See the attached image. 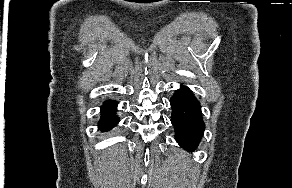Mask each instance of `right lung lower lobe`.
Returning <instances> with one entry per match:
<instances>
[{
  "instance_id": "obj_1",
  "label": "right lung lower lobe",
  "mask_w": 292,
  "mask_h": 188,
  "mask_svg": "<svg viewBox=\"0 0 292 188\" xmlns=\"http://www.w3.org/2000/svg\"><path fill=\"white\" fill-rule=\"evenodd\" d=\"M117 102L115 100H106L100 108V120L98 128L101 131H108L117 125L119 117L116 116Z\"/></svg>"
}]
</instances>
